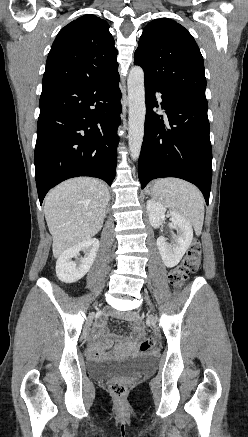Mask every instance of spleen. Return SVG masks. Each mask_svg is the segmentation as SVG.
Here are the masks:
<instances>
[{"instance_id":"3e777b00","label":"spleen","mask_w":248,"mask_h":437,"mask_svg":"<svg viewBox=\"0 0 248 437\" xmlns=\"http://www.w3.org/2000/svg\"><path fill=\"white\" fill-rule=\"evenodd\" d=\"M153 198L180 214L201 233L204 221V198L199 189L177 178H162L155 182Z\"/></svg>"}]
</instances>
